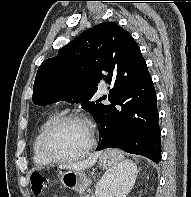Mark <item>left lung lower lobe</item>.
<instances>
[{
	"mask_svg": "<svg viewBox=\"0 0 191 197\" xmlns=\"http://www.w3.org/2000/svg\"><path fill=\"white\" fill-rule=\"evenodd\" d=\"M111 83L114 86L108 96L111 104L104 105L95 118L101 125V144L97 150L119 148L158 163L161 131L155 88L147 66L115 75Z\"/></svg>",
	"mask_w": 191,
	"mask_h": 197,
	"instance_id": "obj_1",
	"label": "left lung lower lobe"
}]
</instances>
